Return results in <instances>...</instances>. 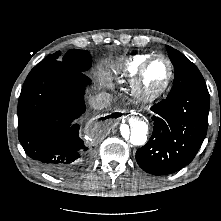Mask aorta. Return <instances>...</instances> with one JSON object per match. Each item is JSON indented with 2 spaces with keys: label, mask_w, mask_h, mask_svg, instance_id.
I'll list each match as a JSON object with an SVG mask.
<instances>
[{
  "label": "aorta",
  "mask_w": 221,
  "mask_h": 221,
  "mask_svg": "<svg viewBox=\"0 0 221 221\" xmlns=\"http://www.w3.org/2000/svg\"><path fill=\"white\" fill-rule=\"evenodd\" d=\"M149 125L140 116H133L123 123L120 128V137L123 141L135 146L144 145L147 141Z\"/></svg>",
  "instance_id": "aorta-1"
}]
</instances>
